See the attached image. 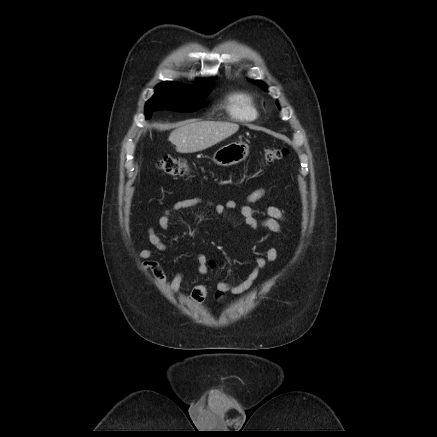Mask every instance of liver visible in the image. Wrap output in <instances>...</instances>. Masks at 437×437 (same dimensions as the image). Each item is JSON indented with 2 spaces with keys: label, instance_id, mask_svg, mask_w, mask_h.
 <instances>
[{
  "label": "liver",
  "instance_id": "1",
  "mask_svg": "<svg viewBox=\"0 0 437 437\" xmlns=\"http://www.w3.org/2000/svg\"><path fill=\"white\" fill-rule=\"evenodd\" d=\"M239 125L221 121H185L173 130L169 141L179 153L205 150L235 134Z\"/></svg>",
  "mask_w": 437,
  "mask_h": 437
}]
</instances>
